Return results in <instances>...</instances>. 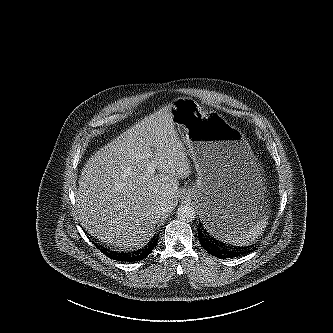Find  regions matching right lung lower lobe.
Listing matches in <instances>:
<instances>
[{
  "label": "right lung lower lobe",
  "mask_w": 333,
  "mask_h": 333,
  "mask_svg": "<svg viewBox=\"0 0 333 333\" xmlns=\"http://www.w3.org/2000/svg\"><path fill=\"white\" fill-rule=\"evenodd\" d=\"M157 242H158V234L153 237L152 241L150 243H148V245L146 247H144L143 250H140V252L135 255H131V254L124 255L121 253H115V252L105 249L103 247H99V249L101 250L102 253H104L109 258H112V259H115L118 261L132 262V261H140V260L144 259L146 256H148L152 252L153 248L156 246ZM96 246L98 247V245H96Z\"/></svg>",
  "instance_id": "right-lung-lower-lobe-1"
}]
</instances>
